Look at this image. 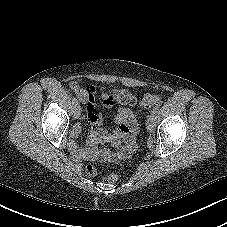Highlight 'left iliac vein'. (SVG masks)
<instances>
[{
	"label": "left iliac vein",
	"mask_w": 227,
	"mask_h": 227,
	"mask_svg": "<svg viewBox=\"0 0 227 227\" xmlns=\"http://www.w3.org/2000/svg\"><path fill=\"white\" fill-rule=\"evenodd\" d=\"M146 124L149 132H153L155 130V114L150 113L147 116Z\"/></svg>",
	"instance_id": "obj_1"
}]
</instances>
